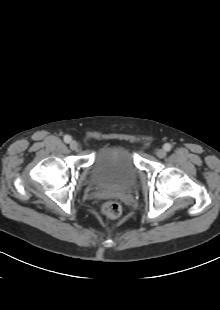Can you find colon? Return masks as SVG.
Instances as JSON below:
<instances>
[{
    "label": "colon",
    "mask_w": 220,
    "mask_h": 310,
    "mask_svg": "<svg viewBox=\"0 0 220 310\" xmlns=\"http://www.w3.org/2000/svg\"><path fill=\"white\" fill-rule=\"evenodd\" d=\"M122 208L117 202H107L102 207V212L104 215L115 218L121 214Z\"/></svg>",
    "instance_id": "obj_1"
}]
</instances>
